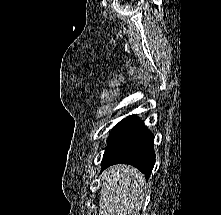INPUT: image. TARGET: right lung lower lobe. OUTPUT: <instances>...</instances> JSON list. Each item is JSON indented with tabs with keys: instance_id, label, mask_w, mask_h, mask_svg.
<instances>
[{
	"instance_id": "obj_1",
	"label": "right lung lower lobe",
	"mask_w": 221,
	"mask_h": 215,
	"mask_svg": "<svg viewBox=\"0 0 221 215\" xmlns=\"http://www.w3.org/2000/svg\"><path fill=\"white\" fill-rule=\"evenodd\" d=\"M103 155L102 170L118 163L133 165L146 178L155 164L153 134L133 116L117 124L111 131Z\"/></svg>"
}]
</instances>
